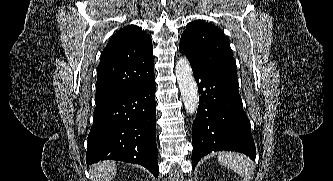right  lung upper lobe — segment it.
I'll use <instances>...</instances> for the list:
<instances>
[{"mask_svg": "<svg viewBox=\"0 0 333 181\" xmlns=\"http://www.w3.org/2000/svg\"><path fill=\"white\" fill-rule=\"evenodd\" d=\"M152 79V40L138 26H127L111 37L102 52L97 68L95 103H103Z\"/></svg>", "mask_w": 333, "mask_h": 181, "instance_id": "1", "label": "right lung upper lobe"}]
</instances>
